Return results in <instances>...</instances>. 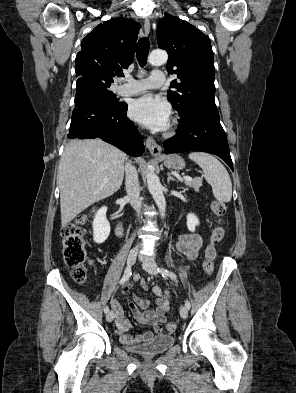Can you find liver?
Wrapping results in <instances>:
<instances>
[{
	"label": "liver",
	"instance_id": "liver-1",
	"mask_svg": "<svg viewBox=\"0 0 296 393\" xmlns=\"http://www.w3.org/2000/svg\"><path fill=\"white\" fill-rule=\"evenodd\" d=\"M125 160V153L101 139L73 140L65 146L58 168L62 227L119 190Z\"/></svg>",
	"mask_w": 296,
	"mask_h": 393
}]
</instances>
